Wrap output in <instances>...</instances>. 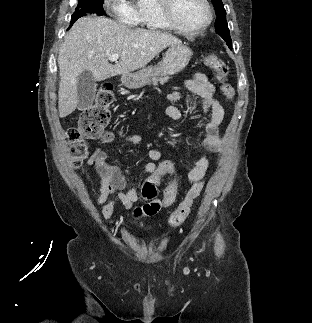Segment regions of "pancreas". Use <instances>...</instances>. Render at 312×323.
Returning <instances> with one entry per match:
<instances>
[{"instance_id":"1","label":"pancreas","mask_w":312,"mask_h":323,"mask_svg":"<svg viewBox=\"0 0 312 323\" xmlns=\"http://www.w3.org/2000/svg\"><path fill=\"white\" fill-rule=\"evenodd\" d=\"M169 78L166 76V78H152L150 82H152L153 86H158L159 82L160 84H165V82H168Z\"/></svg>"}]
</instances>
